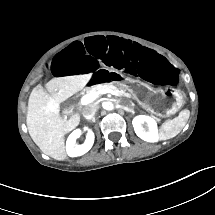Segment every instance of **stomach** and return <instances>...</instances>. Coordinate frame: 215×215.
I'll return each instance as SVG.
<instances>
[{"instance_id": "stomach-1", "label": "stomach", "mask_w": 215, "mask_h": 215, "mask_svg": "<svg viewBox=\"0 0 215 215\" xmlns=\"http://www.w3.org/2000/svg\"><path fill=\"white\" fill-rule=\"evenodd\" d=\"M121 87L145 108L156 114L170 115L182 106V96L177 91L167 94L163 89H152L136 81H126Z\"/></svg>"}]
</instances>
